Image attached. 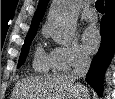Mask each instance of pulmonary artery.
Returning <instances> with one entry per match:
<instances>
[{
  "mask_svg": "<svg viewBox=\"0 0 115 99\" xmlns=\"http://www.w3.org/2000/svg\"><path fill=\"white\" fill-rule=\"evenodd\" d=\"M84 18L90 23L97 21V14L93 9H89L84 13Z\"/></svg>",
  "mask_w": 115,
  "mask_h": 99,
  "instance_id": "e3ab8cb5",
  "label": "pulmonary artery"
}]
</instances>
